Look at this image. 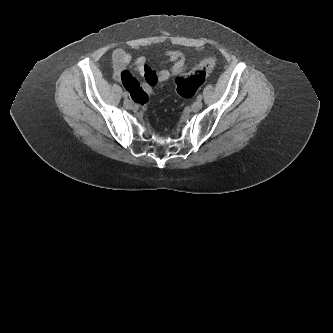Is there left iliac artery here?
<instances>
[{"label": "left iliac artery", "mask_w": 333, "mask_h": 333, "mask_svg": "<svg viewBox=\"0 0 333 333\" xmlns=\"http://www.w3.org/2000/svg\"><path fill=\"white\" fill-rule=\"evenodd\" d=\"M197 100H202V95H201V94H199V95L197 96Z\"/></svg>", "instance_id": "left-iliac-artery-1"}]
</instances>
